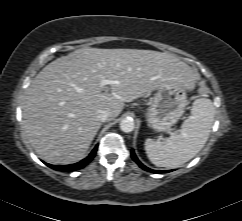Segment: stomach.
<instances>
[{
    "mask_svg": "<svg viewBox=\"0 0 242 221\" xmlns=\"http://www.w3.org/2000/svg\"><path fill=\"white\" fill-rule=\"evenodd\" d=\"M145 116L151 128L162 132L173 126L184 114L188 103L186 88L174 84L160 85Z\"/></svg>",
    "mask_w": 242,
    "mask_h": 221,
    "instance_id": "0dacf381",
    "label": "stomach"
}]
</instances>
